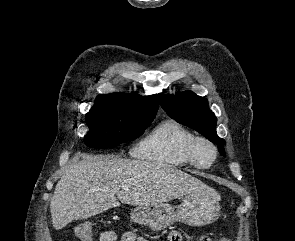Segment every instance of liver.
I'll list each match as a JSON object with an SVG mask.
<instances>
[{
  "label": "liver",
  "instance_id": "1",
  "mask_svg": "<svg viewBox=\"0 0 295 241\" xmlns=\"http://www.w3.org/2000/svg\"><path fill=\"white\" fill-rule=\"evenodd\" d=\"M122 185L128 188L119 190ZM209 189L199 179L170 165L88 156L75 160L63 171L50 202L52 224L59 230L74 220L117 207L120 202L136 206L163 204Z\"/></svg>",
  "mask_w": 295,
  "mask_h": 241
}]
</instances>
